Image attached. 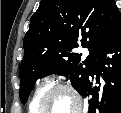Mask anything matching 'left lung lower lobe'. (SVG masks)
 <instances>
[{
	"label": "left lung lower lobe",
	"instance_id": "obj_1",
	"mask_svg": "<svg viewBox=\"0 0 121 113\" xmlns=\"http://www.w3.org/2000/svg\"><path fill=\"white\" fill-rule=\"evenodd\" d=\"M99 74L105 85L93 87L99 82ZM81 95L89 96L88 113H121V19L109 40L101 47L95 65Z\"/></svg>",
	"mask_w": 121,
	"mask_h": 113
}]
</instances>
